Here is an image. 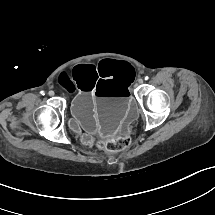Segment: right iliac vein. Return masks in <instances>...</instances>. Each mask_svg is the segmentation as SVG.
<instances>
[{
    "mask_svg": "<svg viewBox=\"0 0 215 215\" xmlns=\"http://www.w3.org/2000/svg\"><path fill=\"white\" fill-rule=\"evenodd\" d=\"M48 94H49L50 96H54L55 92H54V91H49Z\"/></svg>",
    "mask_w": 215,
    "mask_h": 215,
    "instance_id": "right-iliac-vein-1",
    "label": "right iliac vein"
}]
</instances>
